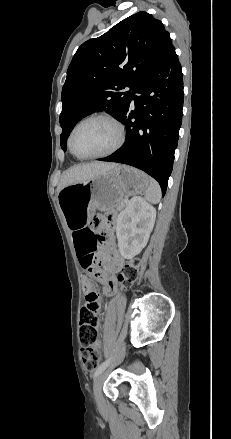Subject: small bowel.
Instances as JSON below:
<instances>
[{"instance_id": "small-bowel-1", "label": "small bowel", "mask_w": 231, "mask_h": 439, "mask_svg": "<svg viewBox=\"0 0 231 439\" xmlns=\"http://www.w3.org/2000/svg\"><path fill=\"white\" fill-rule=\"evenodd\" d=\"M101 222H98V226ZM72 238L76 252V256L82 263L84 257L91 252H96L104 258V273L101 276L104 293L110 294L115 289V279L113 275L117 272L122 265V259L117 255L116 249L113 245V234L110 233L107 240L96 241L94 233L91 229L86 227L73 228ZM82 266V264H81ZM84 290L86 293V301L84 306L92 307L96 313H100L102 310V302L99 299L98 294L94 291L93 282L90 279H86L84 282ZM96 347H100V342L96 344Z\"/></svg>"}]
</instances>
